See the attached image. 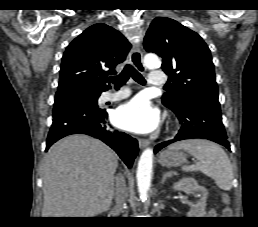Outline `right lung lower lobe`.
Wrapping results in <instances>:
<instances>
[{
	"label": "right lung lower lobe",
	"instance_id": "98d812e1",
	"mask_svg": "<svg viewBox=\"0 0 258 227\" xmlns=\"http://www.w3.org/2000/svg\"><path fill=\"white\" fill-rule=\"evenodd\" d=\"M108 113L92 108L79 99H68L54 104L53 123L47 137L48 148L59 139L71 134H87L98 138L114 149L130 168L138 153L137 140L124 132L109 129Z\"/></svg>",
	"mask_w": 258,
	"mask_h": 227
}]
</instances>
